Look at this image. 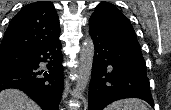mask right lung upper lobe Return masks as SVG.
I'll list each match as a JSON object with an SVG mask.
<instances>
[{
    "instance_id": "right-lung-upper-lobe-1",
    "label": "right lung upper lobe",
    "mask_w": 171,
    "mask_h": 110,
    "mask_svg": "<svg viewBox=\"0 0 171 110\" xmlns=\"http://www.w3.org/2000/svg\"><path fill=\"white\" fill-rule=\"evenodd\" d=\"M59 33V18L51 1L30 3L9 23L0 45V54L29 53L56 40Z\"/></svg>"
}]
</instances>
